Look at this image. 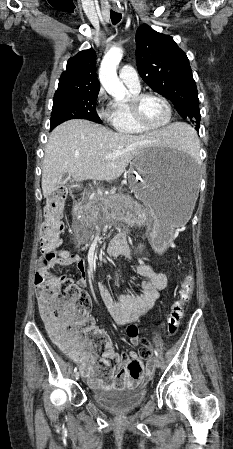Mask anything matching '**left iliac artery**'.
<instances>
[{
  "label": "left iliac artery",
  "instance_id": "44dca946",
  "mask_svg": "<svg viewBox=\"0 0 233 449\" xmlns=\"http://www.w3.org/2000/svg\"><path fill=\"white\" fill-rule=\"evenodd\" d=\"M154 354H155L156 357H159V353H158V351L156 349L154 350Z\"/></svg>",
  "mask_w": 233,
  "mask_h": 449
}]
</instances>
